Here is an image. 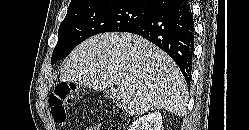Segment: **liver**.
Wrapping results in <instances>:
<instances>
[{"label": "liver", "instance_id": "liver-1", "mask_svg": "<svg viewBox=\"0 0 249 130\" xmlns=\"http://www.w3.org/2000/svg\"><path fill=\"white\" fill-rule=\"evenodd\" d=\"M59 79L95 90L110 88L113 101L135 115L163 109L180 116L188 102L177 64L148 40L130 33L88 38L67 57Z\"/></svg>", "mask_w": 249, "mask_h": 130}]
</instances>
